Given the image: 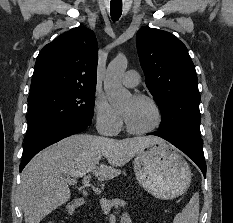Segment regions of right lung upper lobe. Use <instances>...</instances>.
Returning a JSON list of instances; mask_svg holds the SVG:
<instances>
[{"mask_svg": "<svg viewBox=\"0 0 233 223\" xmlns=\"http://www.w3.org/2000/svg\"><path fill=\"white\" fill-rule=\"evenodd\" d=\"M98 45L88 28L77 27L60 35L40 51L30 94L54 88L95 89Z\"/></svg>", "mask_w": 233, "mask_h": 223, "instance_id": "cb5924a9", "label": "right lung upper lobe"}]
</instances>
